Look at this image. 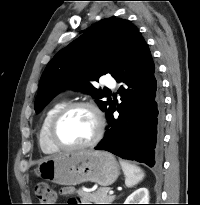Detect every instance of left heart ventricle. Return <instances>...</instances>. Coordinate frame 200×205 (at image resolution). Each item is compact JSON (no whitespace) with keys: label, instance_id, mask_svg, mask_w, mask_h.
Here are the masks:
<instances>
[{"label":"left heart ventricle","instance_id":"1","mask_svg":"<svg viewBox=\"0 0 200 205\" xmlns=\"http://www.w3.org/2000/svg\"><path fill=\"white\" fill-rule=\"evenodd\" d=\"M96 132L93 114L84 108L67 113L57 127V138L64 145H79L88 142Z\"/></svg>","mask_w":200,"mask_h":205}]
</instances>
